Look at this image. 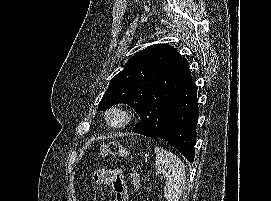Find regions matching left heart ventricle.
Listing matches in <instances>:
<instances>
[{
	"label": "left heart ventricle",
	"mask_w": 271,
	"mask_h": 201,
	"mask_svg": "<svg viewBox=\"0 0 271 201\" xmlns=\"http://www.w3.org/2000/svg\"><path fill=\"white\" fill-rule=\"evenodd\" d=\"M119 116H117V115H113L112 117H111V120L113 121V122H118L119 121Z\"/></svg>",
	"instance_id": "left-heart-ventricle-1"
}]
</instances>
